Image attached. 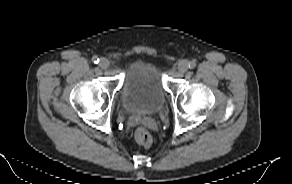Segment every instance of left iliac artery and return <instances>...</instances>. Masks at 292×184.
<instances>
[{"label":"left iliac artery","instance_id":"left-iliac-artery-1","mask_svg":"<svg viewBox=\"0 0 292 184\" xmlns=\"http://www.w3.org/2000/svg\"><path fill=\"white\" fill-rule=\"evenodd\" d=\"M188 67H189L190 69L195 68V67H196V63H195V61H190V62H188Z\"/></svg>","mask_w":292,"mask_h":184}]
</instances>
